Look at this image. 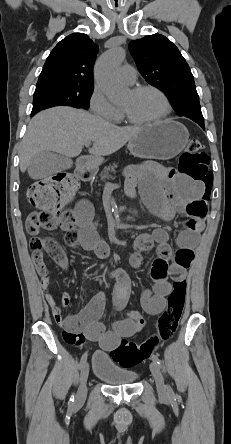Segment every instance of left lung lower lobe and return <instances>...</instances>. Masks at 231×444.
I'll return each instance as SVG.
<instances>
[{"instance_id":"left-lung-lower-lobe-1","label":"left lung lower lobe","mask_w":231,"mask_h":444,"mask_svg":"<svg viewBox=\"0 0 231 444\" xmlns=\"http://www.w3.org/2000/svg\"><path fill=\"white\" fill-rule=\"evenodd\" d=\"M196 123L199 124L202 129H205L204 122L197 121Z\"/></svg>"}]
</instances>
